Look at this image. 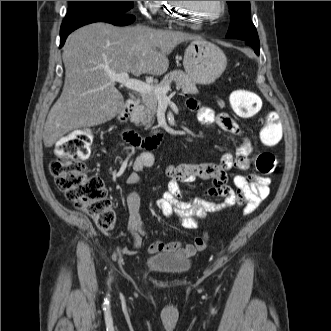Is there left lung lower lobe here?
<instances>
[{
  "mask_svg": "<svg viewBox=\"0 0 331 331\" xmlns=\"http://www.w3.org/2000/svg\"><path fill=\"white\" fill-rule=\"evenodd\" d=\"M246 44L250 45L255 53L257 55H259V39L258 40H248V41H244Z\"/></svg>",
  "mask_w": 331,
  "mask_h": 331,
  "instance_id": "1",
  "label": "left lung lower lobe"
}]
</instances>
